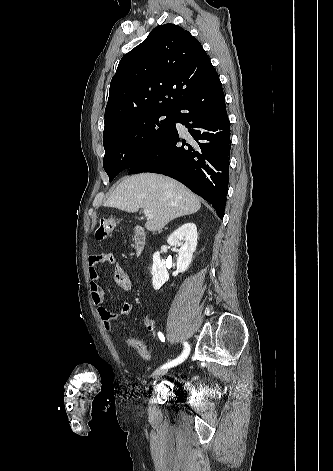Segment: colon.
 I'll return each instance as SVG.
<instances>
[{
  "mask_svg": "<svg viewBox=\"0 0 333 471\" xmlns=\"http://www.w3.org/2000/svg\"><path fill=\"white\" fill-rule=\"evenodd\" d=\"M117 223L118 219L114 217L101 219L95 230V237L98 240L105 239L113 231ZM123 343L134 349L142 358L146 360L150 358V352L141 340L135 337H124Z\"/></svg>",
  "mask_w": 333,
  "mask_h": 471,
  "instance_id": "obj_1",
  "label": "colon"
}]
</instances>
